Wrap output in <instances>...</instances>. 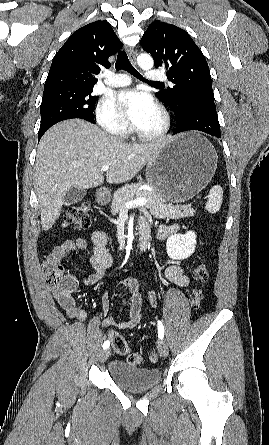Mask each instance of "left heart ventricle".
<instances>
[{"label": "left heart ventricle", "mask_w": 269, "mask_h": 445, "mask_svg": "<svg viewBox=\"0 0 269 445\" xmlns=\"http://www.w3.org/2000/svg\"><path fill=\"white\" fill-rule=\"evenodd\" d=\"M162 124L161 117L156 110L150 117H148L143 123L137 126L139 130L145 133H153L157 131Z\"/></svg>", "instance_id": "obj_1"}]
</instances>
